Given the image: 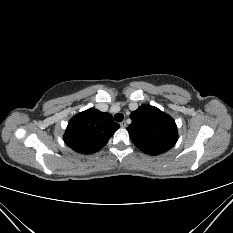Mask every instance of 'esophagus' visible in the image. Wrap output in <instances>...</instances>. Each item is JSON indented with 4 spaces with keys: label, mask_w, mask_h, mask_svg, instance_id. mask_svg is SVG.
Listing matches in <instances>:
<instances>
[{
    "label": "esophagus",
    "mask_w": 233,
    "mask_h": 233,
    "mask_svg": "<svg viewBox=\"0 0 233 233\" xmlns=\"http://www.w3.org/2000/svg\"><path fill=\"white\" fill-rule=\"evenodd\" d=\"M126 121H122V122H120V126H121V128H125L126 127Z\"/></svg>",
    "instance_id": "1"
}]
</instances>
